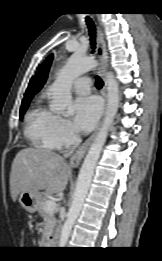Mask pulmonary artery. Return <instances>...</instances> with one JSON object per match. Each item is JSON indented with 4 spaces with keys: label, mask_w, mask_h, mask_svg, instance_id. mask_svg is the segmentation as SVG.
I'll list each match as a JSON object with an SVG mask.
<instances>
[{
    "label": "pulmonary artery",
    "mask_w": 162,
    "mask_h": 261,
    "mask_svg": "<svg viewBox=\"0 0 162 261\" xmlns=\"http://www.w3.org/2000/svg\"><path fill=\"white\" fill-rule=\"evenodd\" d=\"M91 84V79L87 76H82L77 78L73 82V90L78 94H88L89 93V86Z\"/></svg>",
    "instance_id": "e3ab8cb5"
}]
</instances>
